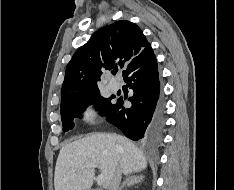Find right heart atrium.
I'll return each mask as SVG.
<instances>
[{"label":"right heart atrium","instance_id":"1","mask_svg":"<svg viewBox=\"0 0 234 190\" xmlns=\"http://www.w3.org/2000/svg\"><path fill=\"white\" fill-rule=\"evenodd\" d=\"M94 117H95V112L93 108L90 106L86 107L82 112V118L87 122L93 121Z\"/></svg>","mask_w":234,"mask_h":190}]
</instances>
